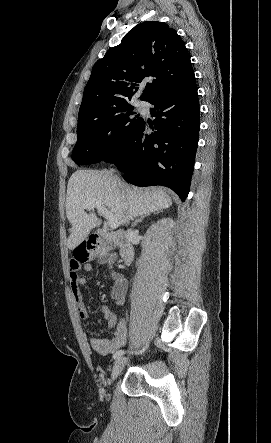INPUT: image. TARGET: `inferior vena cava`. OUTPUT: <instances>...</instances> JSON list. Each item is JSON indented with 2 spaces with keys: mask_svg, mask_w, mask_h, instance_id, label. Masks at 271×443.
<instances>
[{
  "mask_svg": "<svg viewBox=\"0 0 271 443\" xmlns=\"http://www.w3.org/2000/svg\"><path fill=\"white\" fill-rule=\"evenodd\" d=\"M115 180L117 182L116 186L118 188V190H123L124 186H123V182H121V180H119L118 176H115ZM130 220V218H126V222L128 223Z\"/></svg>",
  "mask_w": 271,
  "mask_h": 443,
  "instance_id": "inferior-vena-cava-1",
  "label": "inferior vena cava"
}]
</instances>
